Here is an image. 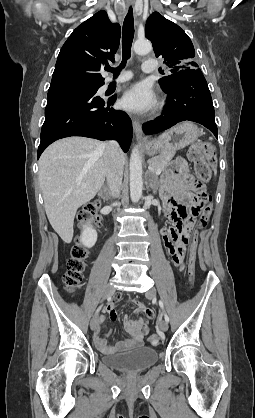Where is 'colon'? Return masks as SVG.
I'll return each mask as SVG.
<instances>
[{"mask_svg":"<svg viewBox=\"0 0 255 418\" xmlns=\"http://www.w3.org/2000/svg\"><path fill=\"white\" fill-rule=\"evenodd\" d=\"M189 160L193 163L195 173L200 181L208 182L214 171V148L205 142H200L194 144L188 154ZM204 203L203 209L199 218L194 219L193 216L196 215V212L193 211L192 214L183 220L176 228H201L206 224L207 218L212 210L211 198L207 196L202 197ZM100 201L95 200L86 204L82 211L80 212L79 219L80 222L85 225H94L97 224L99 216L97 210L100 207ZM198 235L193 234L190 237L189 243V253L187 259V271L190 276L191 282L193 281L194 268L196 262V251L198 250ZM187 250V249H186ZM88 256V251L85 249L81 243H78L73 251L72 256L68 260L67 270L64 275V283L66 288L70 292H74L79 285L81 284L84 278V270L86 267V258ZM148 341L151 345L157 346L160 343V337L157 334H152L149 336Z\"/></svg>","mask_w":255,"mask_h":418,"instance_id":"colon-1","label":"colon"}]
</instances>
